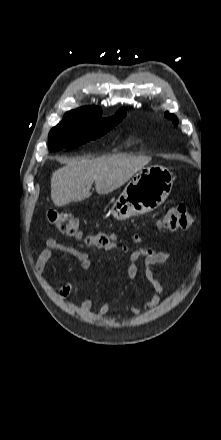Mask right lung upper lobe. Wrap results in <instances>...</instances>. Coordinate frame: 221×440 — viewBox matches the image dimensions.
Instances as JSON below:
<instances>
[{
    "instance_id": "obj_1",
    "label": "right lung upper lobe",
    "mask_w": 221,
    "mask_h": 440,
    "mask_svg": "<svg viewBox=\"0 0 221 440\" xmlns=\"http://www.w3.org/2000/svg\"><path fill=\"white\" fill-rule=\"evenodd\" d=\"M93 110H100V109L98 107H95V106H87V107L78 108V109L73 110V111H93ZM122 110H124V109H121L119 111H122Z\"/></svg>"
}]
</instances>
